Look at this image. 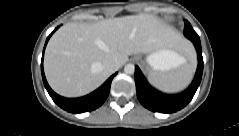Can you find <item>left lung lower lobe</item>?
I'll return each mask as SVG.
<instances>
[{"label":"left lung lower lobe","instance_id":"obj_1","mask_svg":"<svg viewBox=\"0 0 239 136\" xmlns=\"http://www.w3.org/2000/svg\"><path fill=\"white\" fill-rule=\"evenodd\" d=\"M190 39L198 56V67L192 84L187 90L178 95H166L152 88L138 66L135 67V83L137 97L140 103L147 109L154 112L173 113L185 107L193 98L202 78L203 57L201 51L200 38L195 34H189Z\"/></svg>","mask_w":239,"mask_h":136}]
</instances>
